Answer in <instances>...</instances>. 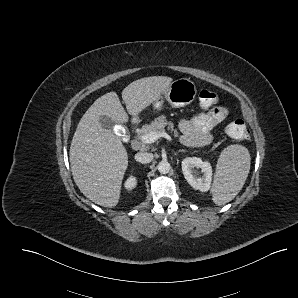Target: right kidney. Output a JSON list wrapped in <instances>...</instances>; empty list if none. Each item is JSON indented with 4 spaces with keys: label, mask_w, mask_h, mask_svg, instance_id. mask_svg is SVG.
I'll list each match as a JSON object with an SVG mask.
<instances>
[{
    "label": "right kidney",
    "mask_w": 298,
    "mask_h": 298,
    "mask_svg": "<svg viewBox=\"0 0 298 298\" xmlns=\"http://www.w3.org/2000/svg\"><path fill=\"white\" fill-rule=\"evenodd\" d=\"M137 185V179L136 177H134L133 175H130L128 177V179L125 181L124 183V187L127 189V190H132L136 187Z\"/></svg>",
    "instance_id": "ca27d5eb"
}]
</instances>
